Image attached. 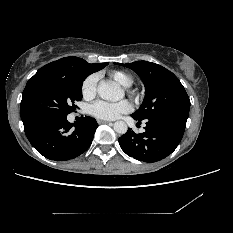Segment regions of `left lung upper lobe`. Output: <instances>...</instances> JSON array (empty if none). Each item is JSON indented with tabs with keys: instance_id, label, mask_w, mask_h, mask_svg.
<instances>
[{
	"instance_id": "left-lung-upper-lobe-1",
	"label": "left lung upper lobe",
	"mask_w": 233,
	"mask_h": 233,
	"mask_svg": "<svg viewBox=\"0 0 233 233\" xmlns=\"http://www.w3.org/2000/svg\"><path fill=\"white\" fill-rule=\"evenodd\" d=\"M135 71L145 85V97L140 108L131 116L138 120L160 118L186 122L189 97L179 79L166 68L147 61L117 63Z\"/></svg>"
}]
</instances>
